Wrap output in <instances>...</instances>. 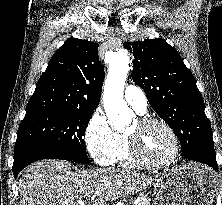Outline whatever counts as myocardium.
<instances>
[{"mask_svg":"<svg viewBox=\"0 0 222 205\" xmlns=\"http://www.w3.org/2000/svg\"><path fill=\"white\" fill-rule=\"evenodd\" d=\"M137 125H138V130L136 132L126 134L129 141L130 152L134 160H136L139 164L143 166L154 169H166L173 166L179 159L181 151L180 141L173 127L166 121L155 117H142L137 120ZM151 125L162 126L170 134L173 140L174 152L172 156L164 162L153 161L149 159L147 156H145V154L143 153L141 147L140 133L143 129Z\"/></svg>","mask_w":222,"mask_h":205,"instance_id":"myocardium-1","label":"myocardium"}]
</instances>
